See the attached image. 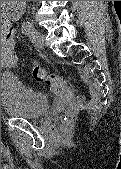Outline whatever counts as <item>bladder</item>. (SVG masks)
<instances>
[{"label":"bladder","mask_w":121,"mask_h":169,"mask_svg":"<svg viewBox=\"0 0 121 169\" xmlns=\"http://www.w3.org/2000/svg\"><path fill=\"white\" fill-rule=\"evenodd\" d=\"M1 106L5 115L20 119H39L51 108L50 99L24 85L12 74L4 73L1 78Z\"/></svg>","instance_id":"bladder-1"}]
</instances>
